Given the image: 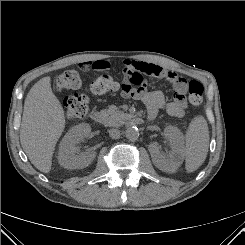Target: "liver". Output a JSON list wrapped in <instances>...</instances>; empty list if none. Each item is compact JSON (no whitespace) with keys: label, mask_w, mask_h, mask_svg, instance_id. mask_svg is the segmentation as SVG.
Returning <instances> with one entry per match:
<instances>
[{"label":"liver","mask_w":245,"mask_h":245,"mask_svg":"<svg viewBox=\"0 0 245 245\" xmlns=\"http://www.w3.org/2000/svg\"><path fill=\"white\" fill-rule=\"evenodd\" d=\"M51 78L40 79L24 102L20 142L31 163L49 173L55 145L65 128L63 107L51 89Z\"/></svg>","instance_id":"obj_1"}]
</instances>
